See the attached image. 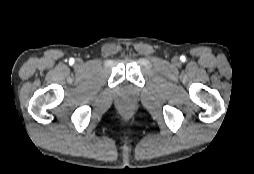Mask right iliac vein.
<instances>
[{"instance_id":"63e3f726","label":"right iliac vein","mask_w":254,"mask_h":174,"mask_svg":"<svg viewBox=\"0 0 254 174\" xmlns=\"http://www.w3.org/2000/svg\"><path fill=\"white\" fill-rule=\"evenodd\" d=\"M77 63L81 64V63H82V61H81V60H77Z\"/></svg>"}]
</instances>
